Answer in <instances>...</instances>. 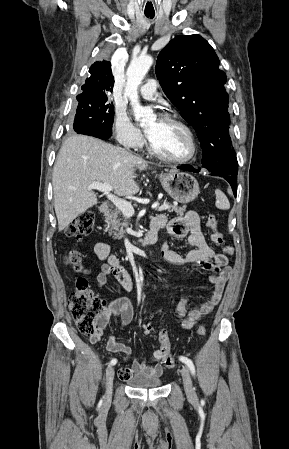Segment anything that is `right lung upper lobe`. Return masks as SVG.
Returning <instances> with one entry per match:
<instances>
[{"label":"right lung upper lobe","mask_w":289,"mask_h":449,"mask_svg":"<svg viewBox=\"0 0 289 449\" xmlns=\"http://www.w3.org/2000/svg\"><path fill=\"white\" fill-rule=\"evenodd\" d=\"M89 73L90 77L86 79V83L82 86L83 93L80 95L112 92L114 79L110 62H95L90 67Z\"/></svg>","instance_id":"obj_1"}]
</instances>
